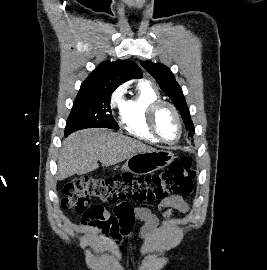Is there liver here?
I'll return each instance as SVG.
<instances>
[{
  "label": "liver",
  "instance_id": "1",
  "mask_svg": "<svg viewBox=\"0 0 267 270\" xmlns=\"http://www.w3.org/2000/svg\"><path fill=\"white\" fill-rule=\"evenodd\" d=\"M156 149L108 129H85L71 134L63 141L58 159L57 178L63 180L74 174H86L98 168V161L111 166L131 156Z\"/></svg>",
  "mask_w": 267,
  "mask_h": 270
}]
</instances>
